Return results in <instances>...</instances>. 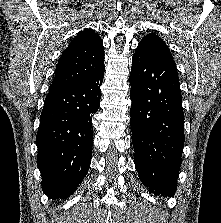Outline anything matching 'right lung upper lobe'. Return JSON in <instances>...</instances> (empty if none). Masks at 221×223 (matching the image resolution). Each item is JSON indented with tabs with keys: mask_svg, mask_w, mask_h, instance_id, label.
Wrapping results in <instances>:
<instances>
[{
	"mask_svg": "<svg viewBox=\"0 0 221 223\" xmlns=\"http://www.w3.org/2000/svg\"><path fill=\"white\" fill-rule=\"evenodd\" d=\"M104 67L102 39L94 30L86 29L62 53L49 92L76 85Z\"/></svg>",
	"mask_w": 221,
	"mask_h": 223,
	"instance_id": "1",
	"label": "right lung upper lobe"
}]
</instances>
